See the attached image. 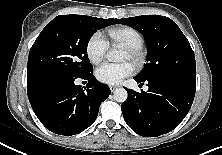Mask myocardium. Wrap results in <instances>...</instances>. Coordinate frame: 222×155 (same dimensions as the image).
<instances>
[{"instance_id":"f54148a6","label":"myocardium","mask_w":222,"mask_h":155,"mask_svg":"<svg viewBox=\"0 0 222 155\" xmlns=\"http://www.w3.org/2000/svg\"><path fill=\"white\" fill-rule=\"evenodd\" d=\"M129 55V60L137 67L143 65L145 61V55L141 48H125Z\"/></svg>"}]
</instances>
